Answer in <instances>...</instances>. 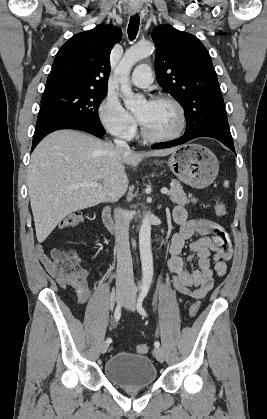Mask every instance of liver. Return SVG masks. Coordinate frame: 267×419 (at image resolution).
<instances>
[{"label":"liver","mask_w":267,"mask_h":419,"mask_svg":"<svg viewBox=\"0 0 267 419\" xmlns=\"http://www.w3.org/2000/svg\"><path fill=\"white\" fill-rule=\"evenodd\" d=\"M175 150L139 153L74 130L46 136L33 151L28 169L38 242L42 243L72 212L123 196L129 183L125 165L136 167L145 157L167 156ZM83 182H97L99 186H80Z\"/></svg>","instance_id":"liver-1"}]
</instances>
